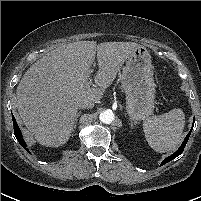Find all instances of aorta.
<instances>
[{
	"label": "aorta",
	"instance_id": "obj_1",
	"mask_svg": "<svg viewBox=\"0 0 201 201\" xmlns=\"http://www.w3.org/2000/svg\"><path fill=\"white\" fill-rule=\"evenodd\" d=\"M99 119L101 122H103L105 124H110L114 120V114L111 110H105L100 113Z\"/></svg>",
	"mask_w": 201,
	"mask_h": 201
}]
</instances>
